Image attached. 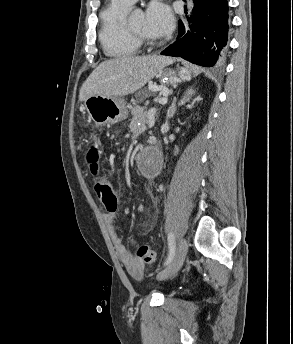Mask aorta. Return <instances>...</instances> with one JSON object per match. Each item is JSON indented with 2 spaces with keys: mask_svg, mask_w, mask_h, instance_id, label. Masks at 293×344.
<instances>
[{
  "mask_svg": "<svg viewBox=\"0 0 293 344\" xmlns=\"http://www.w3.org/2000/svg\"><path fill=\"white\" fill-rule=\"evenodd\" d=\"M187 1V8H188V12L189 14L192 12L193 10V7H194V3H193V0H186ZM146 163H147V160H143V164L142 166L145 167L146 166Z\"/></svg>",
  "mask_w": 293,
  "mask_h": 344,
  "instance_id": "aorta-1",
  "label": "aorta"
}]
</instances>
